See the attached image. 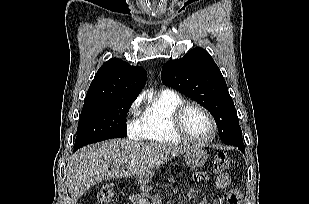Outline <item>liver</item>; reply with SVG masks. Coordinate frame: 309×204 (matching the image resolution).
<instances>
[{"mask_svg": "<svg viewBox=\"0 0 309 204\" xmlns=\"http://www.w3.org/2000/svg\"><path fill=\"white\" fill-rule=\"evenodd\" d=\"M189 148L112 139L81 148L67 164V186L73 202L92 186L110 179L145 173ZM113 169L109 170V165Z\"/></svg>", "mask_w": 309, "mask_h": 204, "instance_id": "obj_1", "label": "liver"}]
</instances>
